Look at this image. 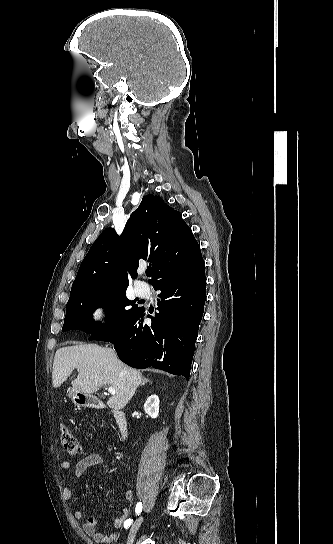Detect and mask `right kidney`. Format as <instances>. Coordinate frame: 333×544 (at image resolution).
Here are the masks:
<instances>
[{"instance_id": "ca27d5eb", "label": "right kidney", "mask_w": 333, "mask_h": 544, "mask_svg": "<svg viewBox=\"0 0 333 544\" xmlns=\"http://www.w3.org/2000/svg\"><path fill=\"white\" fill-rule=\"evenodd\" d=\"M144 410L151 418H157L159 415V397L157 395L149 396L144 404Z\"/></svg>"}]
</instances>
